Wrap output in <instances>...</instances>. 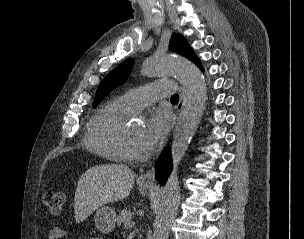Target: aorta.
<instances>
[{
	"label": "aorta",
	"mask_w": 304,
	"mask_h": 239,
	"mask_svg": "<svg viewBox=\"0 0 304 239\" xmlns=\"http://www.w3.org/2000/svg\"><path fill=\"white\" fill-rule=\"evenodd\" d=\"M143 72L148 77L175 76L184 88L182 108L172 141L173 171L162 191L153 224V239H168L180 200L178 166L203 115L207 87L198 67L180 56L155 55L145 61Z\"/></svg>",
	"instance_id": "762f6f07"
}]
</instances>
